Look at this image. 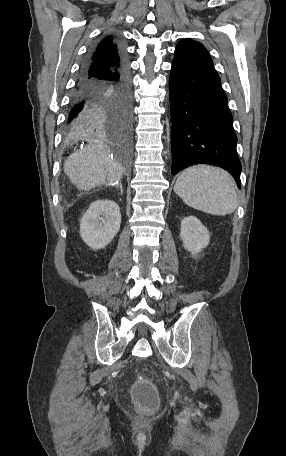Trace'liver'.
Segmentation results:
<instances>
[{
  "label": "liver",
  "mask_w": 286,
  "mask_h": 456,
  "mask_svg": "<svg viewBox=\"0 0 286 456\" xmlns=\"http://www.w3.org/2000/svg\"><path fill=\"white\" fill-rule=\"evenodd\" d=\"M64 172L79 190L89 191L105 184L106 180L112 185H118L123 168L110 157L109 150L101 143L94 142L68 157Z\"/></svg>",
  "instance_id": "liver-1"
}]
</instances>
